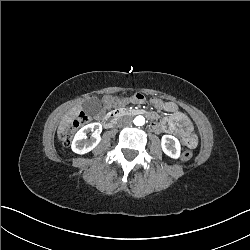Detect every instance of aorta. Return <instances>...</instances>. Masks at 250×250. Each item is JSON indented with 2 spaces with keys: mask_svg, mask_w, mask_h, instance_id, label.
<instances>
[{
  "mask_svg": "<svg viewBox=\"0 0 250 250\" xmlns=\"http://www.w3.org/2000/svg\"><path fill=\"white\" fill-rule=\"evenodd\" d=\"M142 117V116H141ZM142 122V124L140 125V123ZM144 122H145V119H144V117H142V118H139L138 120H137V122H134V124L135 125H138V126H142L143 124H144Z\"/></svg>",
  "mask_w": 250,
  "mask_h": 250,
  "instance_id": "1",
  "label": "aorta"
}]
</instances>
